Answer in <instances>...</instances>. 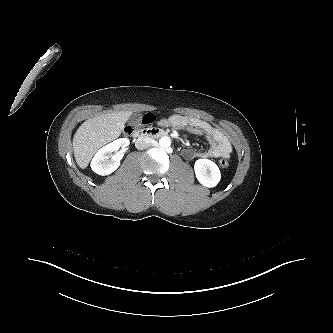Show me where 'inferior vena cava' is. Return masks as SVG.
Wrapping results in <instances>:
<instances>
[{
    "label": "inferior vena cava",
    "instance_id": "inferior-vena-cava-1",
    "mask_svg": "<svg viewBox=\"0 0 333 333\" xmlns=\"http://www.w3.org/2000/svg\"><path fill=\"white\" fill-rule=\"evenodd\" d=\"M150 141L148 137H139L135 142V146L137 149L143 150L150 146Z\"/></svg>",
    "mask_w": 333,
    "mask_h": 333
}]
</instances>
